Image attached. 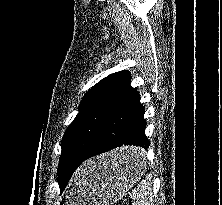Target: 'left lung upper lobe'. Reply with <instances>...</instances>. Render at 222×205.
I'll return each mask as SVG.
<instances>
[{"label": "left lung upper lobe", "instance_id": "obj_1", "mask_svg": "<svg viewBox=\"0 0 222 205\" xmlns=\"http://www.w3.org/2000/svg\"><path fill=\"white\" fill-rule=\"evenodd\" d=\"M131 74L119 71L108 75L83 97L79 113L66 129L61 142L58 183L61 187L72 173L67 161L83 157L91 147L108 114L130 86Z\"/></svg>", "mask_w": 222, "mask_h": 205}]
</instances>
